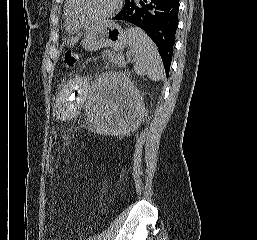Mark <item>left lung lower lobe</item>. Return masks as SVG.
Masks as SVG:
<instances>
[{
  "mask_svg": "<svg viewBox=\"0 0 257 240\" xmlns=\"http://www.w3.org/2000/svg\"><path fill=\"white\" fill-rule=\"evenodd\" d=\"M178 0H125L114 20L131 23L144 30L157 45L166 72L170 64L178 27Z\"/></svg>",
  "mask_w": 257,
  "mask_h": 240,
  "instance_id": "0a47b994",
  "label": "left lung lower lobe"
}]
</instances>
